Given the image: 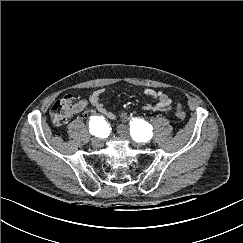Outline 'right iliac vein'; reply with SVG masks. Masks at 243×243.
<instances>
[{
	"label": "right iliac vein",
	"instance_id": "63e3f726",
	"mask_svg": "<svg viewBox=\"0 0 243 243\" xmlns=\"http://www.w3.org/2000/svg\"><path fill=\"white\" fill-rule=\"evenodd\" d=\"M92 145L95 147H99L101 145V139L100 138H93L92 139Z\"/></svg>",
	"mask_w": 243,
	"mask_h": 243
}]
</instances>
